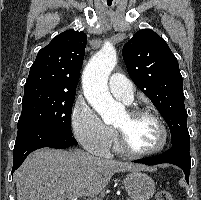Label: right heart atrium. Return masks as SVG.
<instances>
[{
	"mask_svg": "<svg viewBox=\"0 0 201 200\" xmlns=\"http://www.w3.org/2000/svg\"><path fill=\"white\" fill-rule=\"evenodd\" d=\"M75 138L88 152L105 156L114 141L115 133L86 102H78L71 117Z\"/></svg>",
	"mask_w": 201,
	"mask_h": 200,
	"instance_id": "1",
	"label": "right heart atrium"
}]
</instances>
